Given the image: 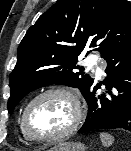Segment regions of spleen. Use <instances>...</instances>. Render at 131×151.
Segmentation results:
<instances>
[{
    "label": "spleen",
    "instance_id": "spleen-1",
    "mask_svg": "<svg viewBox=\"0 0 131 151\" xmlns=\"http://www.w3.org/2000/svg\"><path fill=\"white\" fill-rule=\"evenodd\" d=\"M100 139H101L103 146H105V147L111 146L114 142V137L108 133H100Z\"/></svg>",
    "mask_w": 131,
    "mask_h": 151
}]
</instances>
